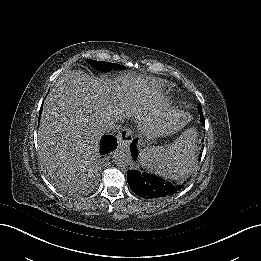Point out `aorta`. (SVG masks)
I'll list each match as a JSON object with an SVG mask.
<instances>
[{"label": "aorta", "instance_id": "762f6f07", "mask_svg": "<svg viewBox=\"0 0 261 261\" xmlns=\"http://www.w3.org/2000/svg\"><path fill=\"white\" fill-rule=\"evenodd\" d=\"M113 161L120 167H132L133 161L129 153L125 152L121 148L116 149L113 153Z\"/></svg>", "mask_w": 261, "mask_h": 261}]
</instances>
